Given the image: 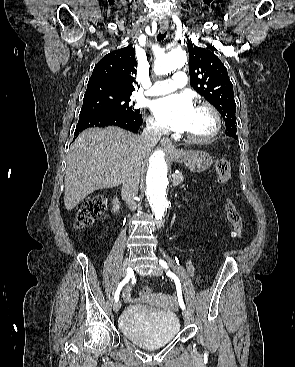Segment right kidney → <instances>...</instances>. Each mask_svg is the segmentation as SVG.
<instances>
[{
    "instance_id": "ca27d5eb",
    "label": "right kidney",
    "mask_w": 295,
    "mask_h": 367,
    "mask_svg": "<svg viewBox=\"0 0 295 367\" xmlns=\"http://www.w3.org/2000/svg\"><path fill=\"white\" fill-rule=\"evenodd\" d=\"M113 204L114 205H113V209L112 210H113L114 213H116L120 209L119 201H118L117 198L113 200Z\"/></svg>"
}]
</instances>
